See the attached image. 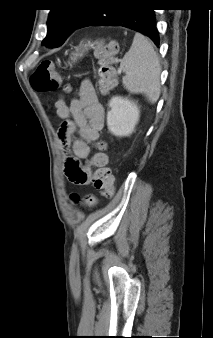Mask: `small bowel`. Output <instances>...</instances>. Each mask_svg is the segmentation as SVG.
Wrapping results in <instances>:
<instances>
[{
    "label": "small bowel",
    "instance_id": "obj_1",
    "mask_svg": "<svg viewBox=\"0 0 213 338\" xmlns=\"http://www.w3.org/2000/svg\"><path fill=\"white\" fill-rule=\"evenodd\" d=\"M58 117L71 123V128L62 126L59 131L60 142L64 147H71L72 155L68 159L84 160L89 158L91 145L99 138L102 127L104 107L98 102L92 84L84 81L79 89L78 97L67 105L62 97L55 103ZM79 137L75 138V133ZM66 166V165H65ZM76 184L87 185L90 182V172L84 170L76 174L71 180Z\"/></svg>",
    "mask_w": 213,
    "mask_h": 338
}]
</instances>
